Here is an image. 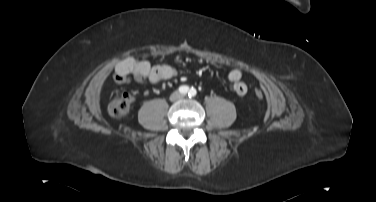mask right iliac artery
<instances>
[{"instance_id":"right-iliac-artery-1","label":"right iliac artery","mask_w":376,"mask_h":202,"mask_svg":"<svg viewBox=\"0 0 376 202\" xmlns=\"http://www.w3.org/2000/svg\"><path fill=\"white\" fill-rule=\"evenodd\" d=\"M188 91H189V87L188 86L182 85V86L179 87V92L181 94H186Z\"/></svg>"}]
</instances>
